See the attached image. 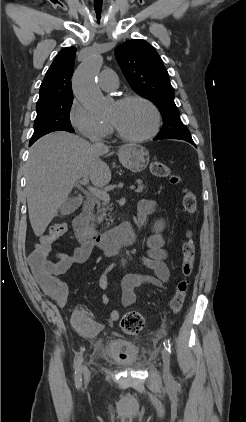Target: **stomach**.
Returning <instances> with one entry per match:
<instances>
[{
    "instance_id": "stomach-1",
    "label": "stomach",
    "mask_w": 246,
    "mask_h": 422,
    "mask_svg": "<svg viewBox=\"0 0 246 422\" xmlns=\"http://www.w3.org/2000/svg\"><path fill=\"white\" fill-rule=\"evenodd\" d=\"M118 156L122 165L134 173L143 171L150 160L147 149L134 143L123 145L119 149Z\"/></svg>"
}]
</instances>
